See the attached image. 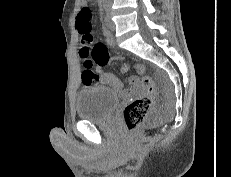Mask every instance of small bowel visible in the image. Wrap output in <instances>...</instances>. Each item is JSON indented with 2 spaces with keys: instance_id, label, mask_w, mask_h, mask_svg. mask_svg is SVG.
<instances>
[{
  "instance_id": "c3829d8e",
  "label": "small bowel",
  "mask_w": 231,
  "mask_h": 177,
  "mask_svg": "<svg viewBox=\"0 0 231 177\" xmlns=\"http://www.w3.org/2000/svg\"><path fill=\"white\" fill-rule=\"evenodd\" d=\"M84 7H88L87 2L85 0L82 2V8H84ZM104 35H105L106 42L109 45H113L114 40H113V37L110 35V33L107 32V31H104ZM127 69H128L127 66L123 67L124 71H127ZM98 70H99L100 81L97 84H103V85H106L108 87L114 88V89H116L118 91L123 90L122 82L116 76L111 74L110 72L104 71L103 70V65H98ZM136 70L139 73H143L144 72V67L142 65H137ZM82 80H83L84 84H86L85 81H84L83 75H82ZM129 84H130V91L129 92L136 91L140 86L139 79L137 77H135V76L130 77Z\"/></svg>"
}]
</instances>
